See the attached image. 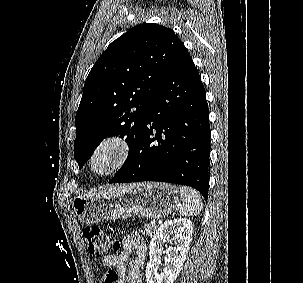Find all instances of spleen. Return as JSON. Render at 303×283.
Segmentation results:
<instances>
[{"label":"spleen","instance_id":"3e777b00","mask_svg":"<svg viewBox=\"0 0 303 283\" xmlns=\"http://www.w3.org/2000/svg\"><path fill=\"white\" fill-rule=\"evenodd\" d=\"M182 204L179 206V212L183 216H196L200 214L203 208V202L200 194L186 186H180Z\"/></svg>","mask_w":303,"mask_h":283}]
</instances>
